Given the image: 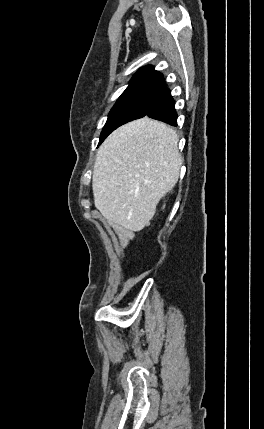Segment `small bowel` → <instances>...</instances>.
Segmentation results:
<instances>
[{
    "instance_id": "c3829d8e",
    "label": "small bowel",
    "mask_w": 264,
    "mask_h": 429,
    "mask_svg": "<svg viewBox=\"0 0 264 429\" xmlns=\"http://www.w3.org/2000/svg\"><path fill=\"white\" fill-rule=\"evenodd\" d=\"M116 235H117L118 242L122 246H127L133 237V235L129 231L122 230V229L116 230Z\"/></svg>"
}]
</instances>
